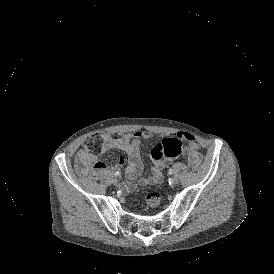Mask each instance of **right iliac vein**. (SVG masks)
Returning <instances> with one entry per match:
<instances>
[{
	"label": "right iliac vein",
	"mask_w": 274,
	"mask_h": 274,
	"mask_svg": "<svg viewBox=\"0 0 274 274\" xmlns=\"http://www.w3.org/2000/svg\"><path fill=\"white\" fill-rule=\"evenodd\" d=\"M112 183H113V185H117V184H118V180H117L116 178H114V179L112 180Z\"/></svg>",
	"instance_id": "right-iliac-vein-1"
}]
</instances>
